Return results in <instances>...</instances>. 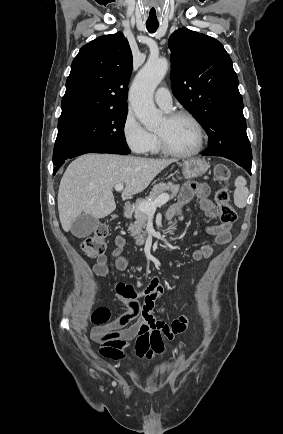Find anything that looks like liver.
<instances>
[{"label": "liver", "instance_id": "1", "mask_svg": "<svg viewBox=\"0 0 283 434\" xmlns=\"http://www.w3.org/2000/svg\"><path fill=\"white\" fill-rule=\"evenodd\" d=\"M172 159H147L114 154H85L67 167L58 190L62 228L68 232L81 214L104 218L116 209L113 188L125 184L122 195L145 190Z\"/></svg>", "mask_w": 283, "mask_h": 434}]
</instances>
